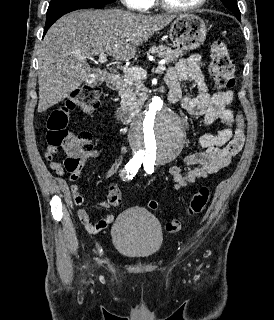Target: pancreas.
<instances>
[{"mask_svg": "<svg viewBox=\"0 0 274 320\" xmlns=\"http://www.w3.org/2000/svg\"><path fill=\"white\" fill-rule=\"evenodd\" d=\"M149 54L156 56V58H163L166 62H175L179 56H183L182 50H172V48H168V46H152ZM122 78V86L118 92L119 96H121L120 110L137 112V110H140L142 104L138 96L141 92H145L147 88H143L142 80H137L132 74H125Z\"/></svg>", "mask_w": 274, "mask_h": 320, "instance_id": "pancreas-1", "label": "pancreas"}]
</instances>
